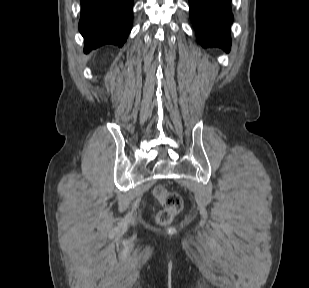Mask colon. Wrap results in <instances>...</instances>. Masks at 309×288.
Wrapping results in <instances>:
<instances>
[{"instance_id":"1","label":"colon","mask_w":309,"mask_h":288,"mask_svg":"<svg viewBox=\"0 0 309 288\" xmlns=\"http://www.w3.org/2000/svg\"><path fill=\"white\" fill-rule=\"evenodd\" d=\"M153 195L163 207L157 214L158 223L161 225L169 224L183 208L182 196L179 193L168 191L163 185H156L153 189Z\"/></svg>"}]
</instances>
